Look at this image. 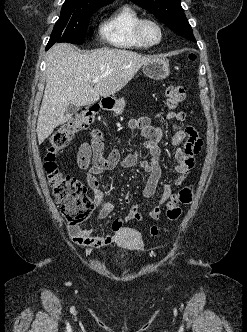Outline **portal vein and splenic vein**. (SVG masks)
<instances>
[{
    "instance_id": "1",
    "label": "portal vein and splenic vein",
    "mask_w": 247,
    "mask_h": 332,
    "mask_svg": "<svg viewBox=\"0 0 247 332\" xmlns=\"http://www.w3.org/2000/svg\"><path fill=\"white\" fill-rule=\"evenodd\" d=\"M98 81H99V78H95V79L92 80V83L95 84V83H97Z\"/></svg>"
}]
</instances>
